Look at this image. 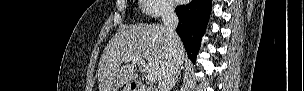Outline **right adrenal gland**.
<instances>
[{"label": "right adrenal gland", "instance_id": "obj_1", "mask_svg": "<svg viewBox=\"0 0 304 91\" xmlns=\"http://www.w3.org/2000/svg\"><path fill=\"white\" fill-rule=\"evenodd\" d=\"M179 75H177V77L175 78V80H174V82L172 84V87H174L179 82Z\"/></svg>", "mask_w": 304, "mask_h": 91}]
</instances>
